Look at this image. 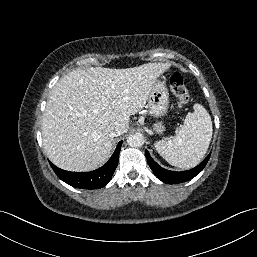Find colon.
Returning a JSON list of instances; mask_svg holds the SVG:
<instances>
[{"label": "colon", "mask_w": 257, "mask_h": 257, "mask_svg": "<svg viewBox=\"0 0 257 257\" xmlns=\"http://www.w3.org/2000/svg\"><path fill=\"white\" fill-rule=\"evenodd\" d=\"M169 84L172 92L178 99L179 105L184 106L187 104L189 101V92L181 74L172 72L169 76Z\"/></svg>", "instance_id": "colon-1"}]
</instances>
